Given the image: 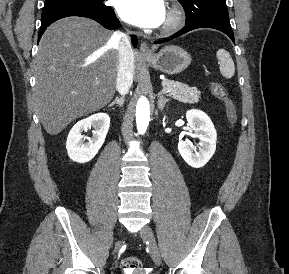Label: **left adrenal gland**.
Segmentation results:
<instances>
[{"label": "left adrenal gland", "instance_id": "1", "mask_svg": "<svg viewBox=\"0 0 289 274\" xmlns=\"http://www.w3.org/2000/svg\"><path fill=\"white\" fill-rule=\"evenodd\" d=\"M169 102V99L168 98H165L162 93L160 92L159 95H158V109L159 110H163L165 108V105L166 103Z\"/></svg>", "mask_w": 289, "mask_h": 274}]
</instances>
